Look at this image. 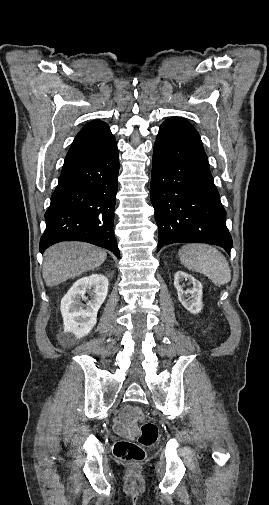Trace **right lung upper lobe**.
Listing matches in <instances>:
<instances>
[{
    "label": "right lung upper lobe",
    "mask_w": 269,
    "mask_h": 505,
    "mask_svg": "<svg viewBox=\"0 0 269 505\" xmlns=\"http://www.w3.org/2000/svg\"><path fill=\"white\" fill-rule=\"evenodd\" d=\"M114 142L115 138L105 122L91 121L75 137L64 164L99 153Z\"/></svg>",
    "instance_id": "cb5924a9"
}]
</instances>
